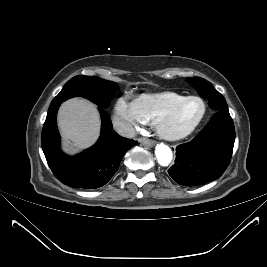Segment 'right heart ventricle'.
<instances>
[{
	"label": "right heart ventricle",
	"mask_w": 267,
	"mask_h": 267,
	"mask_svg": "<svg viewBox=\"0 0 267 267\" xmlns=\"http://www.w3.org/2000/svg\"><path fill=\"white\" fill-rule=\"evenodd\" d=\"M185 97V95L176 92L143 94L136 99V103L145 120L154 123L158 116Z\"/></svg>",
	"instance_id": "right-heart-ventricle-1"
}]
</instances>
